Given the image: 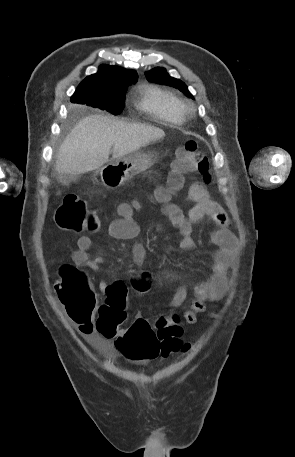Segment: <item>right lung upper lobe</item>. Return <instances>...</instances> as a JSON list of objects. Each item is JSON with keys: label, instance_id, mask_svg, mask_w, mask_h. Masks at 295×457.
<instances>
[{"label": "right lung upper lobe", "instance_id": "cb5924a9", "mask_svg": "<svg viewBox=\"0 0 295 457\" xmlns=\"http://www.w3.org/2000/svg\"><path fill=\"white\" fill-rule=\"evenodd\" d=\"M137 77V72L134 70L101 65L96 74L86 77L78 87L106 91L117 90L129 86L136 81Z\"/></svg>", "mask_w": 295, "mask_h": 457}]
</instances>
